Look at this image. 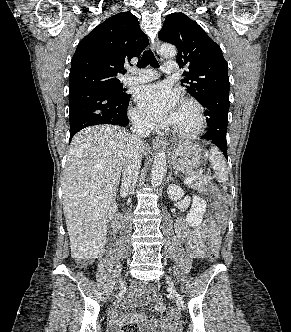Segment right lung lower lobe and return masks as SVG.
I'll return each mask as SVG.
<instances>
[{
  "label": "right lung lower lobe",
  "mask_w": 291,
  "mask_h": 332,
  "mask_svg": "<svg viewBox=\"0 0 291 332\" xmlns=\"http://www.w3.org/2000/svg\"><path fill=\"white\" fill-rule=\"evenodd\" d=\"M130 95L115 98L108 90L89 86L69 92L70 140L81 129L99 124L127 126Z\"/></svg>",
  "instance_id": "1"
}]
</instances>
